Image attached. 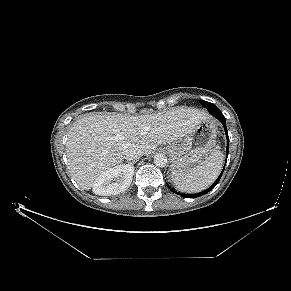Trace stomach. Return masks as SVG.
I'll return each mask as SVG.
<instances>
[{
  "label": "stomach",
  "instance_id": "0dacf381",
  "mask_svg": "<svg viewBox=\"0 0 291 291\" xmlns=\"http://www.w3.org/2000/svg\"><path fill=\"white\" fill-rule=\"evenodd\" d=\"M217 126L212 119L200 122L183 138L167 146L171 171L185 173L216 145ZM172 175V174H171Z\"/></svg>",
  "mask_w": 291,
  "mask_h": 291
}]
</instances>
